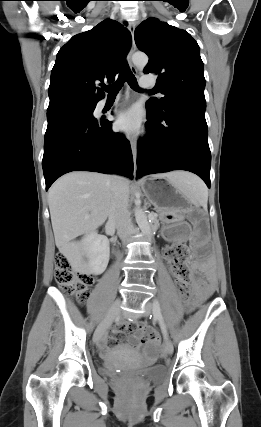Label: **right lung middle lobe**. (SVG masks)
Listing matches in <instances>:
<instances>
[{"label":"right lung middle lobe","mask_w":261,"mask_h":427,"mask_svg":"<svg viewBox=\"0 0 261 427\" xmlns=\"http://www.w3.org/2000/svg\"><path fill=\"white\" fill-rule=\"evenodd\" d=\"M95 107L96 105H68L54 108L47 110V119L51 120L64 116H81L96 120L93 117Z\"/></svg>","instance_id":"1"}]
</instances>
